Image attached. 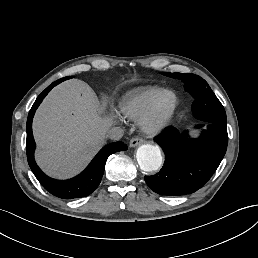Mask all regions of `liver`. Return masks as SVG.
Masks as SVG:
<instances>
[{"label": "liver", "instance_id": "obj_1", "mask_svg": "<svg viewBox=\"0 0 258 258\" xmlns=\"http://www.w3.org/2000/svg\"><path fill=\"white\" fill-rule=\"evenodd\" d=\"M99 101L84 81L71 79L56 86L33 119L36 161L49 176L79 173L105 143L112 118L98 113Z\"/></svg>", "mask_w": 258, "mask_h": 258}]
</instances>
